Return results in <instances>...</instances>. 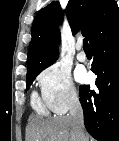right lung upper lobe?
Wrapping results in <instances>:
<instances>
[{"label":"right lung upper lobe","mask_w":119,"mask_h":141,"mask_svg":"<svg viewBox=\"0 0 119 141\" xmlns=\"http://www.w3.org/2000/svg\"><path fill=\"white\" fill-rule=\"evenodd\" d=\"M66 14L73 35L82 29L83 35L91 42L98 29L119 14V9L114 0H69ZM62 21L59 2L50 3L36 15L31 28L27 75L41 72L57 59L58 25Z\"/></svg>","instance_id":"obj_1"}]
</instances>
